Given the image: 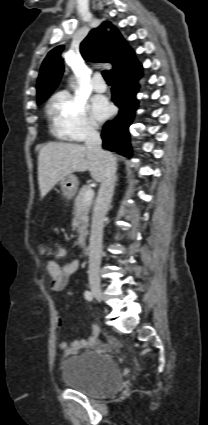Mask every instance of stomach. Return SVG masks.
<instances>
[{
  "instance_id": "obj_1",
  "label": "stomach",
  "mask_w": 208,
  "mask_h": 425,
  "mask_svg": "<svg viewBox=\"0 0 208 425\" xmlns=\"http://www.w3.org/2000/svg\"><path fill=\"white\" fill-rule=\"evenodd\" d=\"M78 184L79 182L75 175L70 174L64 177L60 182L63 195L67 199H71L77 191Z\"/></svg>"
}]
</instances>
